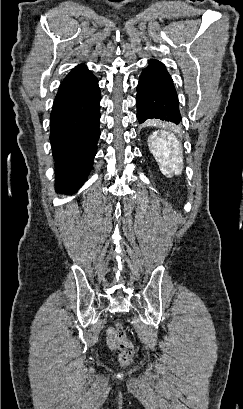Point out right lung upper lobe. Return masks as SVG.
Masks as SVG:
<instances>
[{
  "label": "right lung upper lobe",
  "instance_id": "cb5924a9",
  "mask_svg": "<svg viewBox=\"0 0 243 409\" xmlns=\"http://www.w3.org/2000/svg\"><path fill=\"white\" fill-rule=\"evenodd\" d=\"M83 67H85V65L81 64V65L75 67L74 69H80V68H83Z\"/></svg>",
  "mask_w": 243,
  "mask_h": 409
}]
</instances>
